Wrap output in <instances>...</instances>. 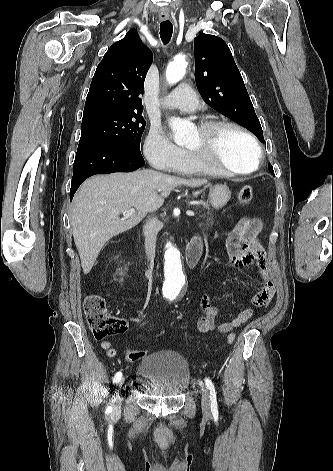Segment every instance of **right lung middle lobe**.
I'll use <instances>...</instances> for the list:
<instances>
[{"mask_svg":"<svg viewBox=\"0 0 333 471\" xmlns=\"http://www.w3.org/2000/svg\"><path fill=\"white\" fill-rule=\"evenodd\" d=\"M141 110L109 111L82 119L79 145L107 143L137 153L145 128Z\"/></svg>","mask_w":333,"mask_h":471,"instance_id":"right-lung-middle-lobe-1","label":"right lung middle lobe"}]
</instances>
